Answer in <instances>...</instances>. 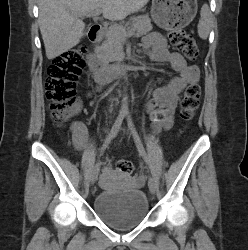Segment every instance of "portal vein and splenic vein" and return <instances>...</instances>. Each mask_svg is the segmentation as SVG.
Segmentation results:
<instances>
[{"mask_svg":"<svg viewBox=\"0 0 248 250\" xmlns=\"http://www.w3.org/2000/svg\"><path fill=\"white\" fill-rule=\"evenodd\" d=\"M101 13H102V10H96V11H94V12L90 13V14H83V16H88V17H90V16H93V17H98V16H100V15H101ZM133 33H134V32H133L132 30H130V31H128V32L123 31V34H124V36H125V37H127V36H129V35H132Z\"/></svg>","mask_w":248,"mask_h":250,"instance_id":"18ae733b","label":"portal vein and splenic vein"}]
</instances>
